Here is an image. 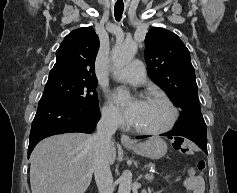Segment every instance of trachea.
Instances as JSON below:
<instances>
[{
	"label": "trachea",
	"mask_w": 237,
	"mask_h": 193,
	"mask_svg": "<svg viewBox=\"0 0 237 193\" xmlns=\"http://www.w3.org/2000/svg\"><path fill=\"white\" fill-rule=\"evenodd\" d=\"M123 9H124V7L115 6V8H114V15H115V19H116L117 21H120V20H121L122 14H123Z\"/></svg>",
	"instance_id": "trachea-1"
}]
</instances>
